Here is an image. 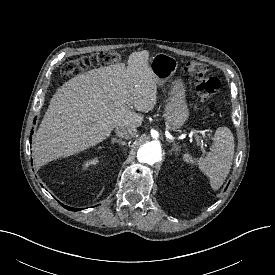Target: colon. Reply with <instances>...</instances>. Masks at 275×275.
Here are the masks:
<instances>
[{"label": "colon", "mask_w": 275, "mask_h": 275, "mask_svg": "<svg viewBox=\"0 0 275 275\" xmlns=\"http://www.w3.org/2000/svg\"><path fill=\"white\" fill-rule=\"evenodd\" d=\"M117 52L107 50L82 56L66 62L61 67V73L65 76L77 75L91 67H100L113 64L119 60ZM187 75L193 80L196 92L208 109L215 107L214 97L220 87L218 78L211 74L208 64L200 61H188L184 67Z\"/></svg>", "instance_id": "colon-1"}]
</instances>
